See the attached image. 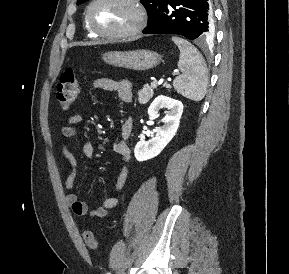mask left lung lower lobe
Here are the masks:
<instances>
[{"label": "left lung lower lobe", "mask_w": 289, "mask_h": 274, "mask_svg": "<svg viewBox=\"0 0 289 274\" xmlns=\"http://www.w3.org/2000/svg\"><path fill=\"white\" fill-rule=\"evenodd\" d=\"M143 33L177 34L206 41L214 33L209 0H165L160 14Z\"/></svg>", "instance_id": "left-lung-lower-lobe-1"}]
</instances>
